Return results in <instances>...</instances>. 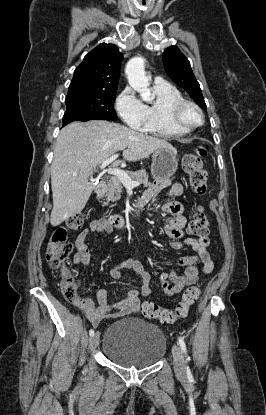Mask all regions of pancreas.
<instances>
[{
    "label": "pancreas",
    "mask_w": 266,
    "mask_h": 415,
    "mask_svg": "<svg viewBox=\"0 0 266 415\" xmlns=\"http://www.w3.org/2000/svg\"><path fill=\"white\" fill-rule=\"evenodd\" d=\"M129 177L134 181H138L144 184V186H150L148 174L145 170H140L136 172H127ZM123 190V184L121 180L113 176L108 182L106 188L103 190L102 194L98 195V198H106L107 202L116 201L120 199L121 193ZM106 204V203H104Z\"/></svg>",
    "instance_id": "pancreas-1"
}]
</instances>
